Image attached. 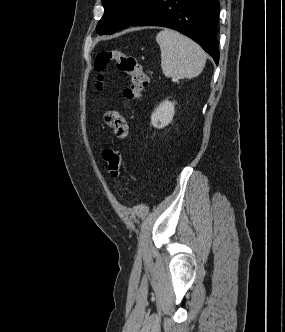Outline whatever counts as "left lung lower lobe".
Returning a JSON list of instances; mask_svg holds the SVG:
<instances>
[{"instance_id": "0a47b994", "label": "left lung lower lobe", "mask_w": 285, "mask_h": 332, "mask_svg": "<svg viewBox=\"0 0 285 332\" xmlns=\"http://www.w3.org/2000/svg\"><path fill=\"white\" fill-rule=\"evenodd\" d=\"M219 0H154L130 26H163L196 41L218 64Z\"/></svg>"}]
</instances>
